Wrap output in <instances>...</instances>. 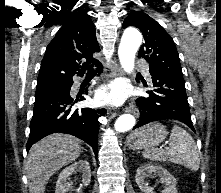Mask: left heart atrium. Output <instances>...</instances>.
<instances>
[{"label": "left heart atrium", "mask_w": 221, "mask_h": 193, "mask_svg": "<svg viewBox=\"0 0 221 193\" xmlns=\"http://www.w3.org/2000/svg\"><path fill=\"white\" fill-rule=\"evenodd\" d=\"M127 97L126 88L121 84H113L108 87V89H104L100 91L97 98L100 102H109L114 105L122 104Z\"/></svg>", "instance_id": "1"}]
</instances>
